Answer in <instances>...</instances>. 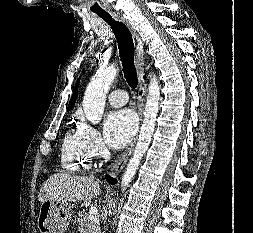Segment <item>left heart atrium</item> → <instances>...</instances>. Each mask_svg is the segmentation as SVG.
<instances>
[{
  "instance_id": "left-heart-atrium-1",
  "label": "left heart atrium",
  "mask_w": 253,
  "mask_h": 233,
  "mask_svg": "<svg viewBox=\"0 0 253 233\" xmlns=\"http://www.w3.org/2000/svg\"><path fill=\"white\" fill-rule=\"evenodd\" d=\"M137 119L128 109L111 112L105 120V137L113 148L127 145L135 134Z\"/></svg>"
}]
</instances>
